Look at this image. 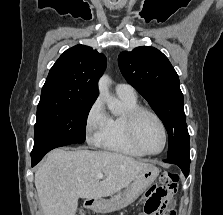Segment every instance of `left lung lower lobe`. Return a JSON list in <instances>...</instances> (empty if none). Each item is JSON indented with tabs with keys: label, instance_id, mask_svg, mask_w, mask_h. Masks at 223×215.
Masks as SVG:
<instances>
[{
	"label": "left lung lower lobe",
	"instance_id": "obj_1",
	"mask_svg": "<svg viewBox=\"0 0 223 215\" xmlns=\"http://www.w3.org/2000/svg\"><path fill=\"white\" fill-rule=\"evenodd\" d=\"M164 162L175 164L179 166L185 175V177L188 176L189 174V165H190V160H178V159H172V158H167L164 160Z\"/></svg>",
	"mask_w": 223,
	"mask_h": 215
}]
</instances>
